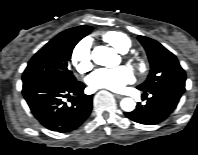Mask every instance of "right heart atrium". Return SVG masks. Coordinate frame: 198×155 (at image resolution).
<instances>
[{
    "instance_id": "obj_1",
    "label": "right heart atrium",
    "mask_w": 198,
    "mask_h": 155,
    "mask_svg": "<svg viewBox=\"0 0 198 155\" xmlns=\"http://www.w3.org/2000/svg\"><path fill=\"white\" fill-rule=\"evenodd\" d=\"M71 62L79 73L88 72L92 68L91 42L81 40L71 53Z\"/></svg>"
}]
</instances>
